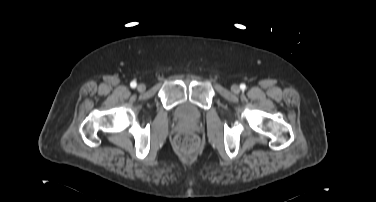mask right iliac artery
I'll use <instances>...</instances> for the list:
<instances>
[{
    "label": "right iliac artery",
    "mask_w": 376,
    "mask_h": 202,
    "mask_svg": "<svg viewBox=\"0 0 376 202\" xmlns=\"http://www.w3.org/2000/svg\"><path fill=\"white\" fill-rule=\"evenodd\" d=\"M130 86H131L132 88H135V87L137 86V83H136L135 81H132V82L130 83Z\"/></svg>",
    "instance_id": "1"
}]
</instances>
